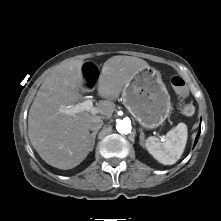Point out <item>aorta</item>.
<instances>
[{
    "label": "aorta",
    "mask_w": 221,
    "mask_h": 221,
    "mask_svg": "<svg viewBox=\"0 0 221 221\" xmlns=\"http://www.w3.org/2000/svg\"><path fill=\"white\" fill-rule=\"evenodd\" d=\"M116 129L121 134H128L132 129L131 122L125 119L119 120L117 121Z\"/></svg>",
    "instance_id": "aorta-1"
}]
</instances>
